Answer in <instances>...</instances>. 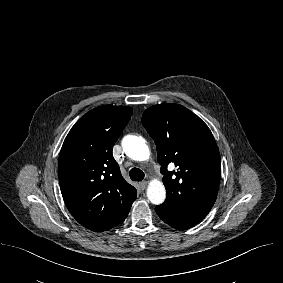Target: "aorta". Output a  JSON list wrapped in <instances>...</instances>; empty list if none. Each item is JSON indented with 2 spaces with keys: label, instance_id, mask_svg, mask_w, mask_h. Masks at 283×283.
<instances>
[{
  "label": "aorta",
  "instance_id": "762f6f07",
  "mask_svg": "<svg viewBox=\"0 0 283 283\" xmlns=\"http://www.w3.org/2000/svg\"><path fill=\"white\" fill-rule=\"evenodd\" d=\"M125 154L135 161H145L150 156L149 147L143 137L127 135L122 139ZM147 197L155 205L162 204L166 198V190L161 181L153 180L147 188Z\"/></svg>",
  "mask_w": 283,
  "mask_h": 283
}]
</instances>
